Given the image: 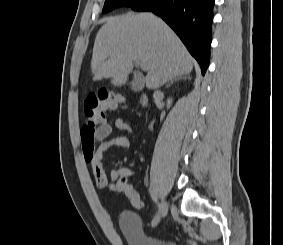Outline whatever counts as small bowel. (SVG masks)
I'll list each match as a JSON object with an SVG mask.
<instances>
[{"instance_id": "obj_1", "label": "small bowel", "mask_w": 283, "mask_h": 245, "mask_svg": "<svg viewBox=\"0 0 283 245\" xmlns=\"http://www.w3.org/2000/svg\"><path fill=\"white\" fill-rule=\"evenodd\" d=\"M115 127L125 132V136L111 137L113 126L104 121L95 125L86 123L80 131L83 157L90 165L98 189L117 191V182L120 178L128 179L135 174L129 167H118L110 172V182L103 168V157L113 147L129 148L135 133L132 126L123 118L115 120Z\"/></svg>"}]
</instances>
